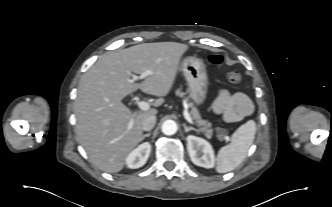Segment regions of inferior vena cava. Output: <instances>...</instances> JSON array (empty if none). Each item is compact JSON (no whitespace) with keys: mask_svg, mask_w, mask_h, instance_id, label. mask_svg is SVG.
I'll return each instance as SVG.
<instances>
[{"mask_svg":"<svg viewBox=\"0 0 332 207\" xmlns=\"http://www.w3.org/2000/svg\"><path fill=\"white\" fill-rule=\"evenodd\" d=\"M155 123H156V116L155 115H150L143 121L142 129L144 131H150L151 129L154 128Z\"/></svg>","mask_w":332,"mask_h":207,"instance_id":"obj_1","label":"inferior vena cava"}]
</instances>
